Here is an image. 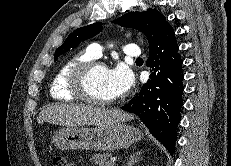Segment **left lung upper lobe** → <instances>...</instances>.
Instances as JSON below:
<instances>
[{
    "instance_id": "obj_1",
    "label": "left lung upper lobe",
    "mask_w": 231,
    "mask_h": 166,
    "mask_svg": "<svg viewBox=\"0 0 231 166\" xmlns=\"http://www.w3.org/2000/svg\"><path fill=\"white\" fill-rule=\"evenodd\" d=\"M115 23L123 27H130L144 33L148 38L149 46L152 47L171 28L164 15L155 9H147L145 12H130L115 20ZM102 29L101 23H94L76 29L65 40V42L55 51L54 61L70 49L78 46L81 41L95 36Z\"/></svg>"
}]
</instances>
